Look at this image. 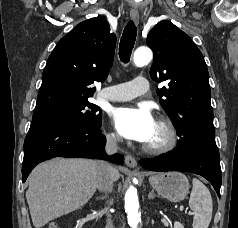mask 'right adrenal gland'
Listing matches in <instances>:
<instances>
[{"instance_id":"1","label":"right adrenal gland","mask_w":238,"mask_h":228,"mask_svg":"<svg viewBox=\"0 0 238 228\" xmlns=\"http://www.w3.org/2000/svg\"><path fill=\"white\" fill-rule=\"evenodd\" d=\"M104 198H105V196L96 197V199H97V200H99V199H101V200H102V199H104Z\"/></svg>"}]
</instances>
